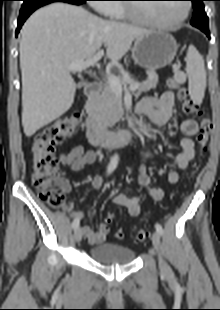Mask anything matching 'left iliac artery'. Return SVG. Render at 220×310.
<instances>
[{
    "label": "left iliac artery",
    "instance_id": "left-iliac-artery-1",
    "mask_svg": "<svg viewBox=\"0 0 220 310\" xmlns=\"http://www.w3.org/2000/svg\"><path fill=\"white\" fill-rule=\"evenodd\" d=\"M155 228L159 235H163L164 231H163L162 226L159 223L155 224Z\"/></svg>",
    "mask_w": 220,
    "mask_h": 310
}]
</instances>
